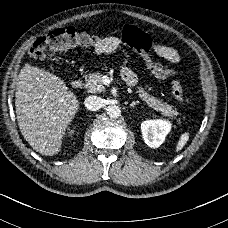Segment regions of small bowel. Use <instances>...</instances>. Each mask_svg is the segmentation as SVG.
Masks as SVG:
<instances>
[{"mask_svg": "<svg viewBox=\"0 0 228 228\" xmlns=\"http://www.w3.org/2000/svg\"><path fill=\"white\" fill-rule=\"evenodd\" d=\"M126 45L128 47H136L141 54V57L153 76L158 79H167L174 74V71L169 68L162 67L155 63L151 58L149 51L151 50L155 55L166 59L167 61L177 64L181 60L179 52L173 47L166 46L159 43H152L151 38L141 29L128 26L124 29L122 37L109 36L98 43L95 47L96 54L110 53ZM122 76L124 80L131 85L137 81L136 74L132 71L130 64L127 62L122 69Z\"/></svg>", "mask_w": 228, "mask_h": 228, "instance_id": "c3829d8e", "label": "small bowel"}]
</instances>
